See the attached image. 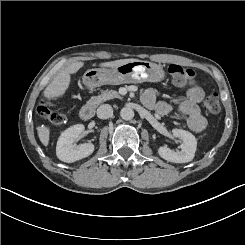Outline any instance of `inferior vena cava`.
I'll return each mask as SVG.
<instances>
[{"instance_id": "602c4592", "label": "inferior vena cava", "mask_w": 245, "mask_h": 245, "mask_svg": "<svg viewBox=\"0 0 245 245\" xmlns=\"http://www.w3.org/2000/svg\"><path fill=\"white\" fill-rule=\"evenodd\" d=\"M113 114V108L109 104H103L97 109V116L100 119H108Z\"/></svg>"}]
</instances>
